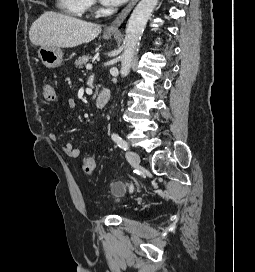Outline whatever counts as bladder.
<instances>
[{
  "label": "bladder",
  "instance_id": "31cf9c89",
  "mask_svg": "<svg viewBox=\"0 0 255 272\" xmlns=\"http://www.w3.org/2000/svg\"><path fill=\"white\" fill-rule=\"evenodd\" d=\"M122 198H123V194L121 193H116V194H113L111 197H110V204L112 206H117L120 204V202L122 201Z\"/></svg>",
  "mask_w": 255,
  "mask_h": 272
}]
</instances>
